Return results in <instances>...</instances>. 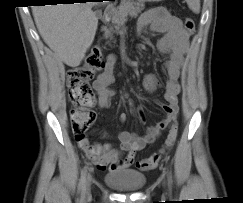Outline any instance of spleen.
Instances as JSON below:
<instances>
[{"instance_id":"1","label":"spleen","mask_w":243,"mask_h":203,"mask_svg":"<svg viewBox=\"0 0 243 203\" xmlns=\"http://www.w3.org/2000/svg\"><path fill=\"white\" fill-rule=\"evenodd\" d=\"M188 7L196 14L200 12V0H186Z\"/></svg>"}]
</instances>
